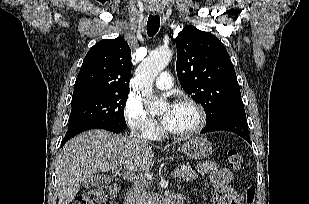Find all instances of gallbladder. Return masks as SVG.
I'll list each match as a JSON object with an SVG mask.
<instances>
[{
  "label": "gallbladder",
  "instance_id": "obj_1",
  "mask_svg": "<svg viewBox=\"0 0 309 204\" xmlns=\"http://www.w3.org/2000/svg\"><path fill=\"white\" fill-rule=\"evenodd\" d=\"M108 177L104 176V175H93L89 178H86L83 182H82V186L86 189L88 188H94L97 185H99L101 182L104 181H108Z\"/></svg>",
  "mask_w": 309,
  "mask_h": 204
}]
</instances>
